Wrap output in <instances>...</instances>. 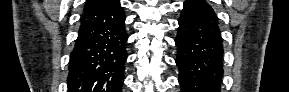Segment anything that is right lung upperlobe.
<instances>
[{
    "label": "right lung upper lobe",
    "instance_id": "1",
    "mask_svg": "<svg viewBox=\"0 0 289 92\" xmlns=\"http://www.w3.org/2000/svg\"><path fill=\"white\" fill-rule=\"evenodd\" d=\"M110 0H88L85 4L84 10L93 9L108 3Z\"/></svg>",
    "mask_w": 289,
    "mask_h": 92
}]
</instances>
